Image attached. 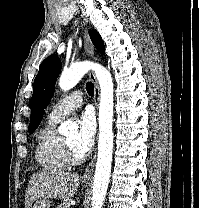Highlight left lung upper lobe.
Segmentation results:
<instances>
[{
  "label": "left lung upper lobe",
  "mask_w": 199,
  "mask_h": 208,
  "mask_svg": "<svg viewBox=\"0 0 199 208\" xmlns=\"http://www.w3.org/2000/svg\"><path fill=\"white\" fill-rule=\"evenodd\" d=\"M90 38L101 54H105V46L96 30L89 31ZM61 62L56 55L47 57L40 65L39 72L34 80L33 95L31 98V117L29 132L33 133L39 126L45 108L54 94L56 79L61 71Z\"/></svg>",
  "instance_id": "5c2ea615"
}]
</instances>
